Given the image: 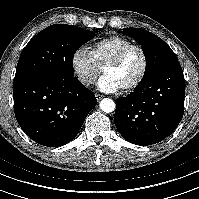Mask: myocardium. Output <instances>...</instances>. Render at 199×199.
<instances>
[{"label":"myocardium","mask_w":199,"mask_h":199,"mask_svg":"<svg viewBox=\"0 0 199 199\" xmlns=\"http://www.w3.org/2000/svg\"><path fill=\"white\" fill-rule=\"evenodd\" d=\"M133 49H137L140 51L143 59V65L141 72L136 77V79L130 82L129 84L125 85L124 87H122V90L125 92L132 91L136 89L138 86H140L147 75L149 67V57L146 49L140 44H130L127 47L123 48L115 57H113L107 64H105L102 69V71H104L109 68L117 67L126 57V55Z\"/></svg>","instance_id":"myocardium-1"}]
</instances>
